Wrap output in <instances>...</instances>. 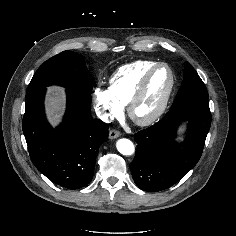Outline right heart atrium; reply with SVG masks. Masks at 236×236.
Returning <instances> with one entry per match:
<instances>
[{
  "label": "right heart atrium",
  "instance_id": "1",
  "mask_svg": "<svg viewBox=\"0 0 236 236\" xmlns=\"http://www.w3.org/2000/svg\"><path fill=\"white\" fill-rule=\"evenodd\" d=\"M94 98L98 114L103 121H110L121 114L123 106L109 89L97 87L94 90Z\"/></svg>",
  "mask_w": 236,
  "mask_h": 236
}]
</instances>
